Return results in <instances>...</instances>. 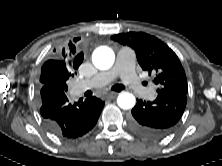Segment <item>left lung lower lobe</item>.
<instances>
[{
    "mask_svg": "<svg viewBox=\"0 0 222 166\" xmlns=\"http://www.w3.org/2000/svg\"><path fill=\"white\" fill-rule=\"evenodd\" d=\"M153 101L137 100L130 117L131 127L152 138L168 135L180 120L187 103V92L160 90Z\"/></svg>",
    "mask_w": 222,
    "mask_h": 166,
    "instance_id": "obj_1",
    "label": "left lung lower lobe"
}]
</instances>
